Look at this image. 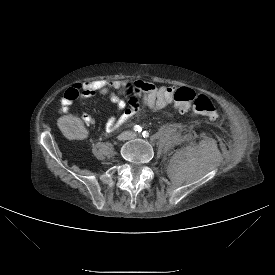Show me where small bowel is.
Returning a JSON list of instances; mask_svg holds the SVG:
<instances>
[{"label": "small bowel", "instance_id": "c3829d8e", "mask_svg": "<svg viewBox=\"0 0 275 275\" xmlns=\"http://www.w3.org/2000/svg\"><path fill=\"white\" fill-rule=\"evenodd\" d=\"M141 92V102L132 98L131 107H127L118 92H126L130 95L133 90ZM175 86L156 84L144 80H138L131 84L121 80L99 79L78 83L69 88L63 97V105L66 106L78 97H91L94 95L108 96L109 101L116 107L117 113L109 118L106 123V131L113 132L120 128L125 122L132 118L139 107L152 111H159L170 105L174 100ZM91 112H84L82 117L76 112L64 113L59 116L57 128L68 142L76 138H85L87 125L93 123Z\"/></svg>", "mask_w": 275, "mask_h": 275}]
</instances>
